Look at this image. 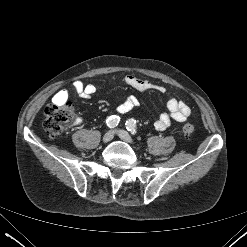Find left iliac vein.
I'll return each instance as SVG.
<instances>
[{
	"instance_id": "left-iliac-vein-1",
	"label": "left iliac vein",
	"mask_w": 247,
	"mask_h": 247,
	"mask_svg": "<svg viewBox=\"0 0 247 247\" xmlns=\"http://www.w3.org/2000/svg\"><path fill=\"white\" fill-rule=\"evenodd\" d=\"M118 136L125 142L129 143V144H133V140L131 138V136L124 130H117L116 131Z\"/></svg>"
}]
</instances>
